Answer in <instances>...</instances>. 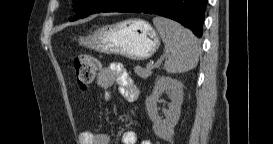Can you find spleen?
<instances>
[{"instance_id": "1", "label": "spleen", "mask_w": 273, "mask_h": 144, "mask_svg": "<svg viewBox=\"0 0 273 144\" xmlns=\"http://www.w3.org/2000/svg\"><path fill=\"white\" fill-rule=\"evenodd\" d=\"M153 23L164 42L165 53L169 54L165 70L168 73H184L194 69L199 59V46L194 34L164 17H155Z\"/></svg>"}]
</instances>
